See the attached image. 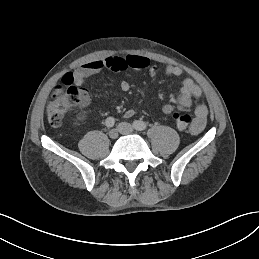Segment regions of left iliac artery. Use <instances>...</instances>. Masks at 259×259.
Masks as SVG:
<instances>
[{
    "label": "left iliac artery",
    "instance_id": "left-iliac-artery-1",
    "mask_svg": "<svg viewBox=\"0 0 259 259\" xmlns=\"http://www.w3.org/2000/svg\"><path fill=\"white\" fill-rule=\"evenodd\" d=\"M133 127L137 130V131H143L147 128V124L143 121L140 120H136L133 122Z\"/></svg>",
    "mask_w": 259,
    "mask_h": 259
}]
</instances>
